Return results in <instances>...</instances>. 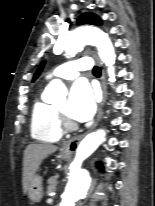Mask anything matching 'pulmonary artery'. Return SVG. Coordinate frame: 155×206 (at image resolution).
Here are the masks:
<instances>
[{"mask_svg":"<svg viewBox=\"0 0 155 206\" xmlns=\"http://www.w3.org/2000/svg\"><path fill=\"white\" fill-rule=\"evenodd\" d=\"M92 67L91 59L88 57L66 62L55 68L48 76V79L62 78L71 80L76 78L81 71L89 70Z\"/></svg>","mask_w":155,"mask_h":206,"instance_id":"obj_1","label":"pulmonary artery"}]
</instances>
